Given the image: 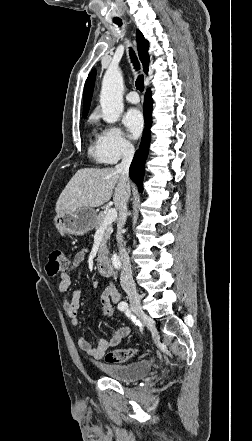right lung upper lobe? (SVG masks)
<instances>
[{
    "label": "right lung upper lobe",
    "mask_w": 252,
    "mask_h": 441,
    "mask_svg": "<svg viewBox=\"0 0 252 441\" xmlns=\"http://www.w3.org/2000/svg\"><path fill=\"white\" fill-rule=\"evenodd\" d=\"M137 48L140 61L143 65L144 72H148V63L149 56L147 54L148 51V41L144 39L143 34L137 30ZM94 81H95V70L91 71L84 88V100H83V117H86L89 111L92 93L94 89Z\"/></svg>",
    "instance_id": "right-lung-upper-lobe-1"
}]
</instances>
